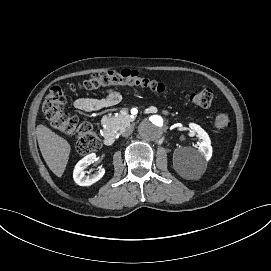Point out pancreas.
I'll return each mask as SVG.
<instances>
[{
  "mask_svg": "<svg viewBox=\"0 0 271 271\" xmlns=\"http://www.w3.org/2000/svg\"><path fill=\"white\" fill-rule=\"evenodd\" d=\"M131 118L128 116H103L101 124L105 125L107 130L118 131L122 125L130 123Z\"/></svg>",
  "mask_w": 271,
  "mask_h": 271,
  "instance_id": "pancreas-1",
  "label": "pancreas"
}]
</instances>
